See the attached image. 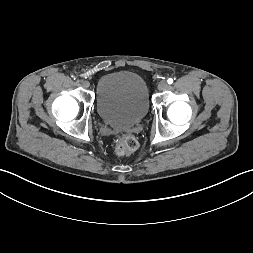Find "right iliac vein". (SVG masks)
Here are the masks:
<instances>
[{
	"mask_svg": "<svg viewBox=\"0 0 253 253\" xmlns=\"http://www.w3.org/2000/svg\"><path fill=\"white\" fill-rule=\"evenodd\" d=\"M81 84H82V86H83L84 88H88V87L90 86V83H89V81H87V80H83V81L81 82Z\"/></svg>",
	"mask_w": 253,
	"mask_h": 253,
	"instance_id": "obj_1",
	"label": "right iliac vein"
}]
</instances>
